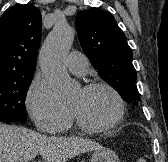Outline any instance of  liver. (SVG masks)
Wrapping results in <instances>:
<instances>
[{"instance_id":"6515ba94","label":"liver","mask_w":168,"mask_h":162,"mask_svg":"<svg viewBox=\"0 0 168 162\" xmlns=\"http://www.w3.org/2000/svg\"><path fill=\"white\" fill-rule=\"evenodd\" d=\"M101 148L89 139L46 136L0 123V162H29L38 154L43 162H67L81 153Z\"/></svg>"}]
</instances>
